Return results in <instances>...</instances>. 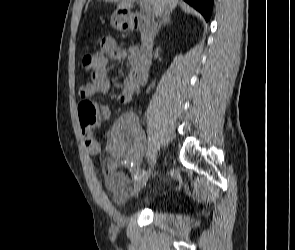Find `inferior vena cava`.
Listing matches in <instances>:
<instances>
[{"instance_id":"inferior-vena-cava-1","label":"inferior vena cava","mask_w":295,"mask_h":250,"mask_svg":"<svg viewBox=\"0 0 295 250\" xmlns=\"http://www.w3.org/2000/svg\"><path fill=\"white\" fill-rule=\"evenodd\" d=\"M162 14H163V12L160 11V12L157 14V16H162Z\"/></svg>"}]
</instances>
